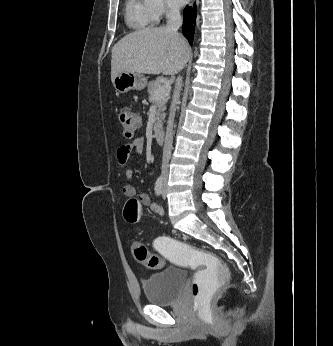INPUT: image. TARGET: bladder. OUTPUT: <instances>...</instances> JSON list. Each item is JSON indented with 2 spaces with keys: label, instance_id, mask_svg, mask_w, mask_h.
<instances>
[{
  "label": "bladder",
  "instance_id": "1",
  "mask_svg": "<svg viewBox=\"0 0 333 346\" xmlns=\"http://www.w3.org/2000/svg\"><path fill=\"white\" fill-rule=\"evenodd\" d=\"M185 281L184 269L167 267L161 272L148 276L143 282V290L150 304L166 305L176 301Z\"/></svg>",
  "mask_w": 333,
  "mask_h": 346
}]
</instances>
